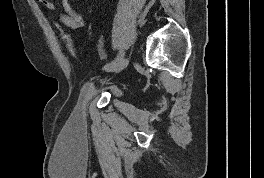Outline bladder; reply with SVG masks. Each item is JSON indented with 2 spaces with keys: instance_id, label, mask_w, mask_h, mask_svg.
<instances>
[{
  "instance_id": "1",
  "label": "bladder",
  "mask_w": 264,
  "mask_h": 178,
  "mask_svg": "<svg viewBox=\"0 0 264 178\" xmlns=\"http://www.w3.org/2000/svg\"><path fill=\"white\" fill-rule=\"evenodd\" d=\"M99 93H107L111 97H120L121 90L115 85L101 84L94 80H88L84 83L82 88V96L90 97Z\"/></svg>"
}]
</instances>
